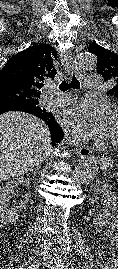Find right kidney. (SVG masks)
Segmentation results:
<instances>
[{
    "mask_svg": "<svg viewBox=\"0 0 118 269\" xmlns=\"http://www.w3.org/2000/svg\"><path fill=\"white\" fill-rule=\"evenodd\" d=\"M20 184L29 186V178H16L15 180L6 183L2 188H0V223L12 224L18 220L20 213L22 212L23 204L11 208L9 206L10 199L14 193V189L18 188Z\"/></svg>",
    "mask_w": 118,
    "mask_h": 269,
    "instance_id": "obj_1",
    "label": "right kidney"
}]
</instances>
